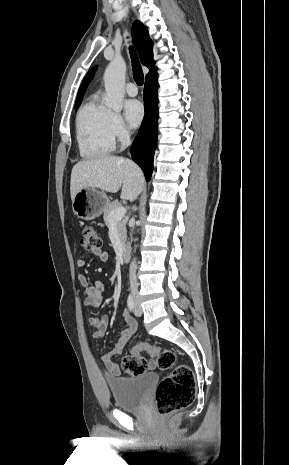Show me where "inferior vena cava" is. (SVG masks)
Segmentation results:
<instances>
[{
    "label": "inferior vena cava",
    "mask_w": 289,
    "mask_h": 465,
    "mask_svg": "<svg viewBox=\"0 0 289 465\" xmlns=\"http://www.w3.org/2000/svg\"><path fill=\"white\" fill-rule=\"evenodd\" d=\"M126 137L127 139H129L130 135L127 133ZM136 269H137V264H136V260L134 259L130 264V270H129L130 289L134 297L138 296V282H137V277H136Z\"/></svg>",
    "instance_id": "1"
}]
</instances>
